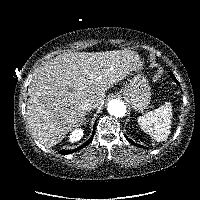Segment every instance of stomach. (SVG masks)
<instances>
[{"instance_id":"0dacf381","label":"stomach","mask_w":200,"mask_h":200,"mask_svg":"<svg viewBox=\"0 0 200 200\" xmlns=\"http://www.w3.org/2000/svg\"><path fill=\"white\" fill-rule=\"evenodd\" d=\"M140 67L135 72H138ZM121 93L136 111L144 110L150 103L151 88L146 77L141 74H136L132 79H129L121 89Z\"/></svg>"}]
</instances>
